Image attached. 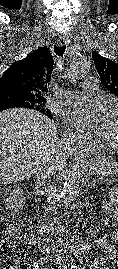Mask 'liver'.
<instances>
[{
  "label": "liver",
  "mask_w": 118,
  "mask_h": 269,
  "mask_svg": "<svg viewBox=\"0 0 118 269\" xmlns=\"http://www.w3.org/2000/svg\"><path fill=\"white\" fill-rule=\"evenodd\" d=\"M57 139L55 123L40 112L27 108L0 112V185L35 174L51 156Z\"/></svg>",
  "instance_id": "6515ba94"
}]
</instances>
